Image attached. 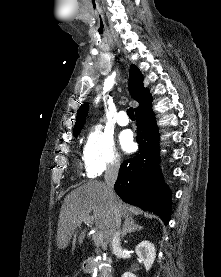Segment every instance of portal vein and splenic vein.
<instances>
[{
	"instance_id": "portal-vein-and-splenic-vein-1",
	"label": "portal vein and splenic vein",
	"mask_w": 221,
	"mask_h": 277,
	"mask_svg": "<svg viewBox=\"0 0 221 277\" xmlns=\"http://www.w3.org/2000/svg\"><path fill=\"white\" fill-rule=\"evenodd\" d=\"M82 222H84L85 224H93V219L90 216H87L78 221V225H81ZM93 238L96 246H101L103 244L104 236L102 232L95 233Z\"/></svg>"
}]
</instances>
